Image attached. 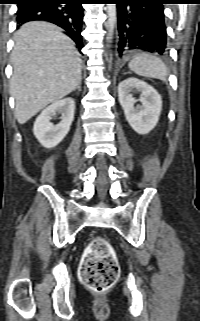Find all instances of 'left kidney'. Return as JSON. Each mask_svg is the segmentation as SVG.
Segmentation results:
<instances>
[{
    "label": "left kidney",
    "mask_w": 200,
    "mask_h": 321,
    "mask_svg": "<svg viewBox=\"0 0 200 321\" xmlns=\"http://www.w3.org/2000/svg\"><path fill=\"white\" fill-rule=\"evenodd\" d=\"M140 91L142 105L134 107L132 91ZM118 99L129 125L139 134H147L157 125L162 110L159 93L149 84L136 78H128L118 85Z\"/></svg>",
    "instance_id": "obj_1"
}]
</instances>
